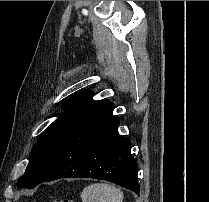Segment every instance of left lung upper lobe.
Returning a JSON list of instances; mask_svg holds the SVG:
<instances>
[{
  "label": "left lung upper lobe",
  "mask_w": 209,
  "mask_h": 202,
  "mask_svg": "<svg viewBox=\"0 0 209 202\" xmlns=\"http://www.w3.org/2000/svg\"><path fill=\"white\" fill-rule=\"evenodd\" d=\"M92 96V91H82L63 105L67 111L38 138L33 156L25 173L17 181V186L31 189L42 183L51 173L74 132L87 118L109 103L108 100L94 101Z\"/></svg>",
  "instance_id": "1"
}]
</instances>
